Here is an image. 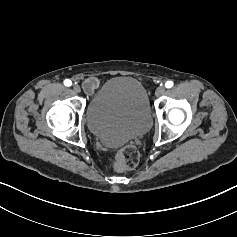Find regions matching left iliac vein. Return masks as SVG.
Returning <instances> with one entry per match:
<instances>
[{
    "label": "left iliac vein",
    "instance_id": "obj_1",
    "mask_svg": "<svg viewBox=\"0 0 237 237\" xmlns=\"http://www.w3.org/2000/svg\"><path fill=\"white\" fill-rule=\"evenodd\" d=\"M164 93H165V88L163 86H159L155 92L156 96L163 95Z\"/></svg>",
    "mask_w": 237,
    "mask_h": 237
}]
</instances>
